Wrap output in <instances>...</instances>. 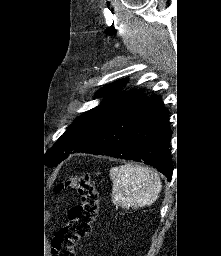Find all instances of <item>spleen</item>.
<instances>
[{
  "label": "spleen",
  "instance_id": "obj_1",
  "mask_svg": "<svg viewBox=\"0 0 221 256\" xmlns=\"http://www.w3.org/2000/svg\"><path fill=\"white\" fill-rule=\"evenodd\" d=\"M112 202L123 209L152 205L161 191L159 176L141 165H121L110 170Z\"/></svg>",
  "mask_w": 221,
  "mask_h": 256
}]
</instances>
